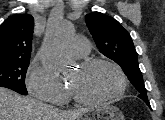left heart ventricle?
<instances>
[{
	"instance_id": "obj_1",
	"label": "left heart ventricle",
	"mask_w": 165,
	"mask_h": 120,
	"mask_svg": "<svg viewBox=\"0 0 165 120\" xmlns=\"http://www.w3.org/2000/svg\"><path fill=\"white\" fill-rule=\"evenodd\" d=\"M70 86L86 98L98 99L116 92L120 80L112 67L99 64L86 70L79 68L71 78Z\"/></svg>"
}]
</instances>
